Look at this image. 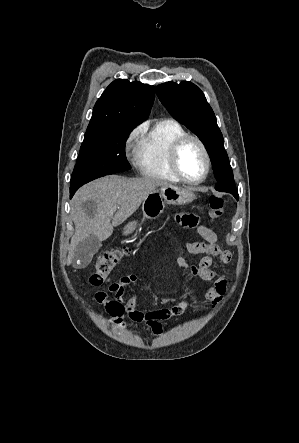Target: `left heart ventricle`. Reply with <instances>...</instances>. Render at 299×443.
<instances>
[{"label":"left heart ventricle","instance_id":"left-heart-ventricle-1","mask_svg":"<svg viewBox=\"0 0 299 443\" xmlns=\"http://www.w3.org/2000/svg\"><path fill=\"white\" fill-rule=\"evenodd\" d=\"M180 168L186 177L198 179L204 173V157L199 145L188 141L179 153Z\"/></svg>","mask_w":299,"mask_h":443}]
</instances>
